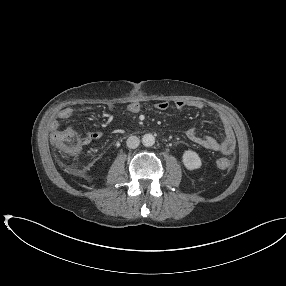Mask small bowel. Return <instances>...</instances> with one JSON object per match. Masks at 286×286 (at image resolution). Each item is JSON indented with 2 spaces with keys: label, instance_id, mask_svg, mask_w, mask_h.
<instances>
[{
  "label": "small bowel",
  "instance_id": "small-bowel-1",
  "mask_svg": "<svg viewBox=\"0 0 286 286\" xmlns=\"http://www.w3.org/2000/svg\"><path fill=\"white\" fill-rule=\"evenodd\" d=\"M170 107V103L167 101H161L155 104V108L159 111H166ZM174 107L178 110H182L185 107H191L194 109L201 110L204 108V104L199 101H183L178 100L174 103ZM129 113H138L141 110V101L134 100L126 108ZM74 114L72 107L66 106L60 109L57 113V117L60 120H68ZM220 120L224 129V139L219 141L210 136L201 135L196 128H190L186 131V137L192 143L211 151H217L224 155L231 154L236 146V138L230 119L221 114ZM60 129V122L54 120L50 125L51 136ZM87 142H93L102 138V133L98 131H91L86 133Z\"/></svg>",
  "mask_w": 286,
  "mask_h": 286
}]
</instances>
